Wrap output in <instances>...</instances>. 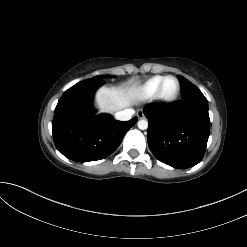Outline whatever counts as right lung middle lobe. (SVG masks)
<instances>
[{"label":"right lung middle lobe","mask_w":247,"mask_h":247,"mask_svg":"<svg viewBox=\"0 0 247 247\" xmlns=\"http://www.w3.org/2000/svg\"><path fill=\"white\" fill-rule=\"evenodd\" d=\"M101 80V77L100 76H95L93 77L92 79H86L84 80L85 82H91V83H96V82H99Z\"/></svg>","instance_id":"obj_1"}]
</instances>
